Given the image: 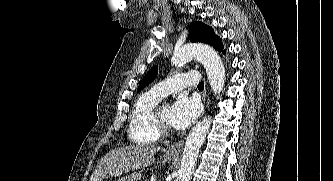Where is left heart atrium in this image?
Listing matches in <instances>:
<instances>
[{"label": "left heart atrium", "instance_id": "left-heart-atrium-1", "mask_svg": "<svg viewBox=\"0 0 333 181\" xmlns=\"http://www.w3.org/2000/svg\"><path fill=\"white\" fill-rule=\"evenodd\" d=\"M199 114L196 101L186 96H179L171 106L169 123L176 129H185L190 126Z\"/></svg>", "mask_w": 333, "mask_h": 181}]
</instances>
